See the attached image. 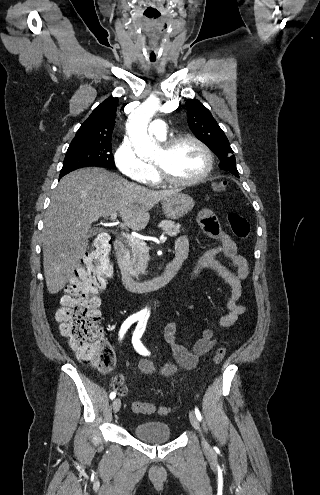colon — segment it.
Returning <instances> with one entry per match:
<instances>
[{
  "label": "colon",
  "instance_id": "obj_1",
  "mask_svg": "<svg viewBox=\"0 0 320 495\" xmlns=\"http://www.w3.org/2000/svg\"><path fill=\"white\" fill-rule=\"evenodd\" d=\"M227 188V182L216 185L215 191L221 193ZM227 220L232 233L239 239H246L250 233V224L241 214L231 212ZM111 242L108 237L97 238L90 252L84 258L83 266L67 285L61 306L56 312L62 335L66 336L72 349L85 361L92 363L100 371L110 370L115 363V352L111 345L102 338L100 321V301L98 293L105 289L113 274L110 261ZM226 353L224 345L219 346L213 357L215 364H220ZM113 388L119 395L126 394L122 377L113 382ZM135 413L165 415L170 408L157 407L148 402L132 403Z\"/></svg>",
  "mask_w": 320,
  "mask_h": 495
}]
</instances>
